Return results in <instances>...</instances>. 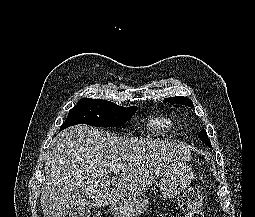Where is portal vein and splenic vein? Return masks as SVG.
Instances as JSON below:
<instances>
[{
    "mask_svg": "<svg viewBox=\"0 0 255 217\" xmlns=\"http://www.w3.org/2000/svg\"><path fill=\"white\" fill-rule=\"evenodd\" d=\"M110 170H111L112 173L120 172L121 171V165L114 164V165L111 166Z\"/></svg>",
    "mask_w": 255,
    "mask_h": 217,
    "instance_id": "portal-vein-and-splenic-vein-1",
    "label": "portal vein and splenic vein"
}]
</instances>
